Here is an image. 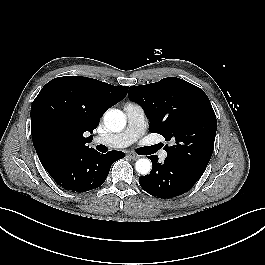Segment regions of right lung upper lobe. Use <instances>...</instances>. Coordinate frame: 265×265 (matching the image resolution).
I'll use <instances>...</instances> for the list:
<instances>
[{
    "mask_svg": "<svg viewBox=\"0 0 265 265\" xmlns=\"http://www.w3.org/2000/svg\"><path fill=\"white\" fill-rule=\"evenodd\" d=\"M128 86L81 76L54 78L40 91L31 106V134L41 163L71 153L90 150L87 146L99 118L121 101Z\"/></svg>",
    "mask_w": 265,
    "mask_h": 265,
    "instance_id": "cb5924a9",
    "label": "right lung upper lobe"
}]
</instances>
